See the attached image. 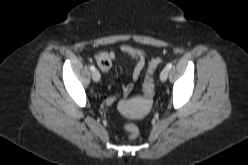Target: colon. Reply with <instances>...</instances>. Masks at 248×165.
Wrapping results in <instances>:
<instances>
[{"mask_svg":"<svg viewBox=\"0 0 248 165\" xmlns=\"http://www.w3.org/2000/svg\"><path fill=\"white\" fill-rule=\"evenodd\" d=\"M106 61L103 55L96 57V62L98 65L104 64ZM162 59L160 57L153 58L148 65V71L142 84L143 96L147 99H151L154 94V80L153 72L160 66ZM124 131L129 139H136L139 135V129L134 124H126L124 126Z\"/></svg>","mask_w":248,"mask_h":165,"instance_id":"5ec220e1","label":"colon"}]
</instances>
